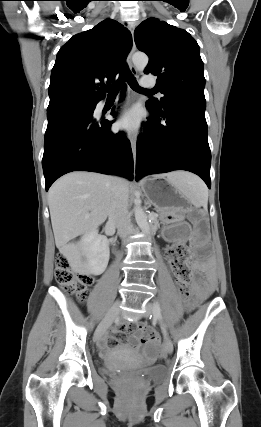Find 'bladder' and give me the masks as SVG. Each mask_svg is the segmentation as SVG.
<instances>
[{
  "label": "bladder",
  "mask_w": 261,
  "mask_h": 427,
  "mask_svg": "<svg viewBox=\"0 0 261 427\" xmlns=\"http://www.w3.org/2000/svg\"><path fill=\"white\" fill-rule=\"evenodd\" d=\"M116 371L117 369L108 365L100 369V372L104 375H113ZM126 371L134 372L132 368H126ZM139 373L150 380L159 381L165 377L166 369L161 365H154V366L145 368L143 370H140Z\"/></svg>",
  "instance_id": "1"
}]
</instances>
